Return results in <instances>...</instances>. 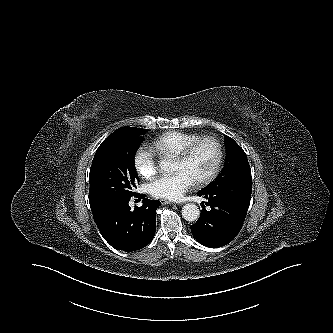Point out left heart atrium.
Listing matches in <instances>:
<instances>
[{
	"label": "left heart atrium",
	"instance_id": "39dd6f15",
	"mask_svg": "<svg viewBox=\"0 0 333 333\" xmlns=\"http://www.w3.org/2000/svg\"><path fill=\"white\" fill-rule=\"evenodd\" d=\"M194 183V179L187 172L178 171L156 177L148 184V191L154 197L176 201L180 200Z\"/></svg>",
	"mask_w": 333,
	"mask_h": 333
}]
</instances>
